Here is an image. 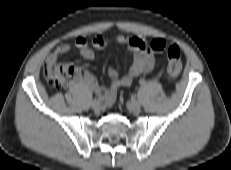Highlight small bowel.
Here are the masks:
<instances>
[{
  "mask_svg": "<svg viewBox=\"0 0 231 170\" xmlns=\"http://www.w3.org/2000/svg\"><path fill=\"white\" fill-rule=\"evenodd\" d=\"M111 41L116 42L126 47L132 54V64L129 70L124 75H119L116 69L109 68L108 76L110 84L108 87L101 86L97 79L90 73H85V76L80 80L92 92L102 95L107 105H111L115 101L116 91L119 87L130 86L134 79L141 74L153 71L159 61L156 59L153 50L148 47L147 41L139 36L127 37L118 35L113 40L106 39L100 34L92 38V46L95 49H102ZM71 51H76L82 58L92 61L96 58L95 51L88 46L87 40L79 36L76 38L74 45L62 44L59 45L46 59V64L57 63L58 59Z\"/></svg>",
  "mask_w": 231,
  "mask_h": 170,
  "instance_id": "small-bowel-1",
  "label": "small bowel"
}]
</instances>
